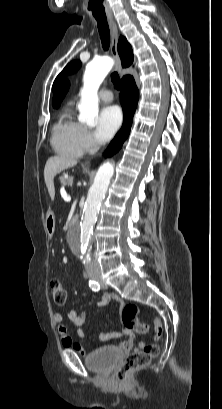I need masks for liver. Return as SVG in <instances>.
<instances>
[{
	"label": "liver",
	"mask_w": 222,
	"mask_h": 409,
	"mask_svg": "<svg viewBox=\"0 0 222 409\" xmlns=\"http://www.w3.org/2000/svg\"><path fill=\"white\" fill-rule=\"evenodd\" d=\"M75 165H77V160L66 156H53L47 160L44 168V179L51 200L55 198L54 177Z\"/></svg>",
	"instance_id": "liver-1"
}]
</instances>
